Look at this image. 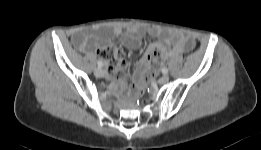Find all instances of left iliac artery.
Listing matches in <instances>:
<instances>
[{"instance_id":"44dca946","label":"left iliac artery","mask_w":261,"mask_h":150,"mask_svg":"<svg viewBox=\"0 0 261 150\" xmlns=\"http://www.w3.org/2000/svg\"><path fill=\"white\" fill-rule=\"evenodd\" d=\"M162 73H163V74H167V73H168V69H167V68H163V69H162Z\"/></svg>"}]
</instances>
